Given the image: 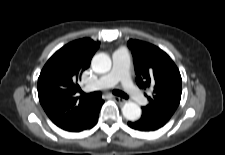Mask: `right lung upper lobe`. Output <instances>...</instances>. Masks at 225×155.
<instances>
[{
  "instance_id": "1",
  "label": "right lung upper lobe",
  "mask_w": 225,
  "mask_h": 155,
  "mask_svg": "<svg viewBox=\"0 0 225 155\" xmlns=\"http://www.w3.org/2000/svg\"><path fill=\"white\" fill-rule=\"evenodd\" d=\"M98 46L90 38L73 41L59 49L40 73L39 101L52 122L64 130L77 127L95 102L75 94Z\"/></svg>"
}]
</instances>
